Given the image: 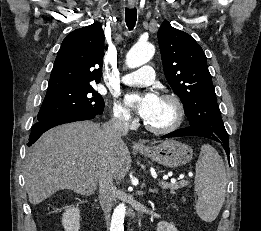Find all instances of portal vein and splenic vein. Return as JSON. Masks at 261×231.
<instances>
[{"instance_id":"portal-vein-and-splenic-vein-1","label":"portal vein and splenic vein","mask_w":261,"mask_h":231,"mask_svg":"<svg viewBox=\"0 0 261 231\" xmlns=\"http://www.w3.org/2000/svg\"><path fill=\"white\" fill-rule=\"evenodd\" d=\"M188 181L186 180H181L180 182H176V180H171L170 183L165 182V181H161L159 182L160 185H173V186H178L179 184H187Z\"/></svg>"}]
</instances>
